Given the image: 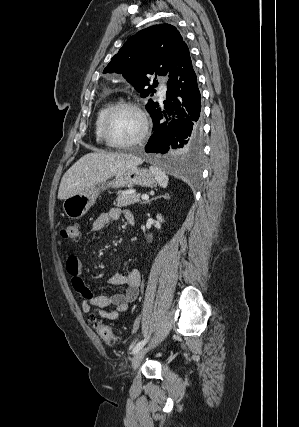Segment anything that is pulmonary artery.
I'll return each mask as SVG.
<instances>
[{
  "instance_id": "pulmonary-artery-1",
  "label": "pulmonary artery",
  "mask_w": 299,
  "mask_h": 427,
  "mask_svg": "<svg viewBox=\"0 0 299 427\" xmlns=\"http://www.w3.org/2000/svg\"><path fill=\"white\" fill-rule=\"evenodd\" d=\"M167 91L166 85L162 84L159 88L158 94L160 97H165Z\"/></svg>"
}]
</instances>
